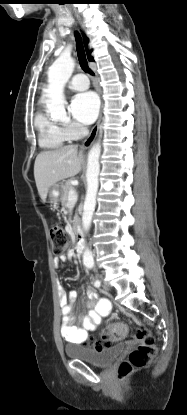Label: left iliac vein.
Masks as SVG:
<instances>
[{"label":"left iliac vein","mask_w":187,"mask_h":415,"mask_svg":"<svg viewBox=\"0 0 187 415\" xmlns=\"http://www.w3.org/2000/svg\"><path fill=\"white\" fill-rule=\"evenodd\" d=\"M103 289L108 291V290H110V286L107 283H104L103 284Z\"/></svg>","instance_id":"1"}]
</instances>
